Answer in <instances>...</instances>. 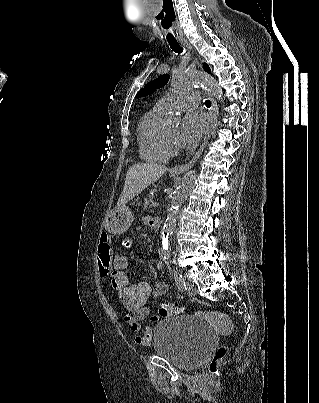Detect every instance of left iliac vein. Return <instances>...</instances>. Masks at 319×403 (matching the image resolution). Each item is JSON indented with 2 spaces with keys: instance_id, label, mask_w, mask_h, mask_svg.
Returning <instances> with one entry per match:
<instances>
[{
  "instance_id": "obj_1",
  "label": "left iliac vein",
  "mask_w": 319,
  "mask_h": 403,
  "mask_svg": "<svg viewBox=\"0 0 319 403\" xmlns=\"http://www.w3.org/2000/svg\"><path fill=\"white\" fill-rule=\"evenodd\" d=\"M185 291H186L187 294H189L191 296H195L196 292H197L196 287L191 282H187L186 287H185Z\"/></svg>"
}]
</instances>
